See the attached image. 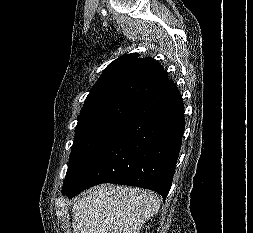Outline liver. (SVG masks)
Masks as SVG:
<instances>
[{
  "label": "liver",
  "instance_id": "6515ba94",
  "mask_svg": "<svg viewBox=\"0 0 253 233\" xmlns=\"http://www.w3.org/2000/svg\"><path fill=\"white\" fill-rule=\"evenodd\" d=\"M160 205L154 193L143 189L97 186L72 207L73 233H139Z\"/></svg>",
  "mask_w": 253,
  "mask_h": 233
}]
</instances>
